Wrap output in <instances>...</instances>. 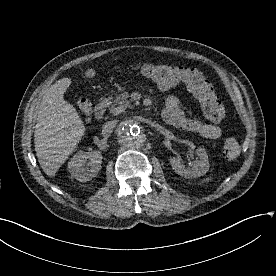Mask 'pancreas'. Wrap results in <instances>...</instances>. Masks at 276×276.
<instances>
[{
    "instance_id": "cf45deb5",
    "label": "pancreas",
    "mask_w": 276,
    "mask_h": 276,
    "mask_svg": "<svg viewBox=\"0 0 276 276\" xmlns=\"http://www.w3.org/2000/svg\"><path fill=\"white\" fill-rule=\"evenodd\" d=\"M129 94L126 91H121L119 95L116 96L114 104L111 105L110 113L117 115L123 112L126 108L130 107Z\"/></svg>"
}]
</instances>
